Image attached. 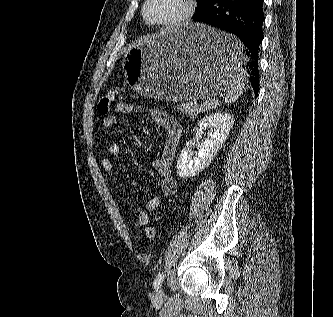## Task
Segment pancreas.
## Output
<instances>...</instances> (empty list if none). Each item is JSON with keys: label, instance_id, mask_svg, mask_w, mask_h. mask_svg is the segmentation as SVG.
<instances>
[{"label": "pancreas", "instance_id": "1", "mask_svg": "<svg viewBox=\"0 0 333 317\" xmlns=\"http://www.w3.org/2000/svg\"><path fill=\"white\" fill-rule=\"evenodd\" d=\"M215 102L214 101H207L200 105H197L196 103H182L177 107L178 110H180L183 114H186L190 117H195L198 113L207 111L211 108H215Z\"/></svg>", "mask_w": 333, "mask_h": 317}]
</instances>
